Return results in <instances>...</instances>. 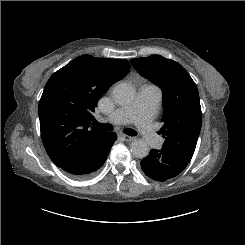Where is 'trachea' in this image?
Returning a JSON list of instances; mask_svg holds the SVG:
<instances>
[{
	"label": "trachea",
	"mask_w": 245,
	"mask_h": 245,
	"mask_svg": "<svg viewBox=\"0 0 245 245\" xmlns=\"http://www.w3.org/2000/svg\"><path fill=\"white\" fill-rule=\"evenodd\" d=\"M93 124L102 130H106V131H112L113 130V126H111L110 124H101L97 121H94ZM123 132L127 135H130V136H136L137 135V132L135 130H132V129H124Z\"/></svg>",
	"instance_id": "trachea-1"
}]
</instances>
